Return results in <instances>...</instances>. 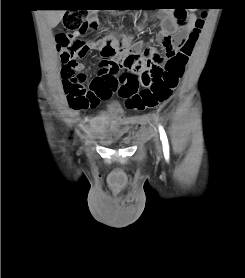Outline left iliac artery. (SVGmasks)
Wrapping results in <instances>:
<instances>
[{"label":"left iliac artery","mask_w":245,"mask_h":278,"mask_svg":"<svg viewBox=\"0 0 245 278\" xmlns=\"http://www.w3.org/2000/svg\"><path fill=\"white\" fill-rule=\"evenodd\" d=\"M160 139L162 141L163 153L166 160L169 159V144L166 133L162 126H159Z\"/></svg>","instance_id":"left-iliac-artery-1"}]
</instances>
